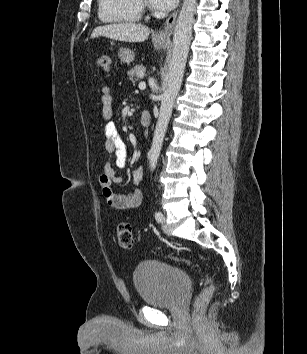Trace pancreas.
Returning <instances> with one entry per match:
<instances>
[{"label":"pancreas","instance_id":"1","mask_svg":"<svg viewBox=\"0 0 307 354\" xmlns=\"http://www.w3.org/2000/svg\"><path fill=\"white\" fill-rule=\"evenodd\" d=\"M145 67L143 65H136L130 71H128L129 80L135 83L144 76Z\"/></svg>","mask_w":307,"mask_h":354}]
</instances>
